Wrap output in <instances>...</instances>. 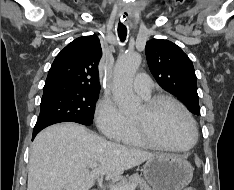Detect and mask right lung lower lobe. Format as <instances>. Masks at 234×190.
<instances>
[{
  "label": "right lung lower lobe",
  "instance_id": "right-lung-lower-lobe-1",
  "mask_svg": "<svg viewBox=\"0 0 234 190\" xmlns=\"http://www.w3.org/2000/svg\"><path fill=\"white\" fill-rule=\"evenodd\" d=\"M38 132H40V131H38V130H33V136H32V140L34 139V137L38 134Z\"/></svg>",
  "mask_w": 234,
  "mask_h": 190
}]
</instances>
